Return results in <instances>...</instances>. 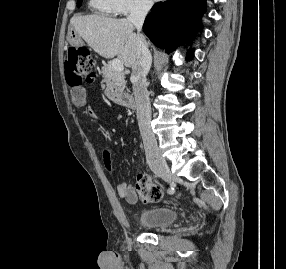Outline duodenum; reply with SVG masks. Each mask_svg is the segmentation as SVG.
<instances>
[{
  "label": "duodenum",
  "instance_id": "410a0bca",
  "mask_svg": "<svg viewBox=\"0 0 286 269\" xmlns=\"http://www.w3.org/2000/svg\"><path fill=\"white\" fill-rule=\"evenodd\" d=\"M120 104L126 108L134 109L136 107L135 101L132 97L126 96L121 98Z\"/></svg>",
  "mask_w": 286,
  "mask_h": 269
}]
</instances>
